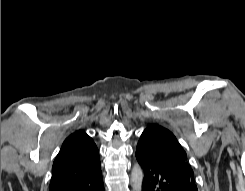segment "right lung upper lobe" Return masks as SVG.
Here are the masks:
<instances>
[{"label":"right lung upper lobe","mask_w":245,"mask_h":191,"mask_svg":"<svg viewBox=\"0 0 245 191\" xmlns=\"http://www.w3.org/2000/svg\"><path fill=\"white\" fill-rule=\"evenodd\" d=\"M100 169L99 152L94 141L83 131H76L66 138L55 158L49 191H61Z\"/></svg>","instance_id":"right-lung-upper-lobe-1"}]
</instances>
